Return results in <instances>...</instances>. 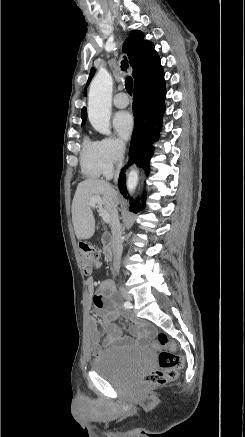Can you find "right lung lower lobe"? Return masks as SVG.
I'll return each instance as SVG.
<instances>
[{
	"mask_svg": "<svg viewBox=\"0 0 245 437\" xmlns=\"http://www.w3.org/2000/svg\"><path fill=\"white\" fill-rule=\"evenodd\" d=\"M165 81L164 76L152 84L137 87L134 89L133 97V114L135 126L132 134L130 146V163H137L140 166L148 168L149 160L153 154V142L159 138L162 117L165 111ZM154 126H158L154 129ZM120 173L118 187L120 192L127 198L126 179L123 173ZM144 205L134 202L130 199V211L139 212Z\"/></svg>",
	"mask_w": 245,
	"mask_h": 437,
	"instance_id": "1",
	"label": "right lung lower lobe"
}]
</instances>
